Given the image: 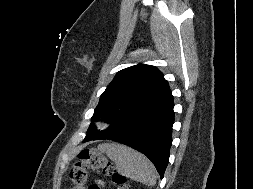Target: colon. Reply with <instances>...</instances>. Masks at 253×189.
Wrapping results in <instances>:
<instances>
[{"label":"colon","instance_id":"obj_1","mask_svg":"<svg viewBox=\"0 0 253 189\" xmlns=\"http://www.w3.org/2000/svg\"><path fill=\"white\" fill-rule=\"evenodd\" d=\"M111 178L116 189H131L129 181L121 175L114 164L95 148L82 149L69 172L70 181L77 187L85 184L88 171ZM87 189H100L97 184L88 185Z\"/></svg>","mask_w":253,"mask_h":189}]
</instances>
